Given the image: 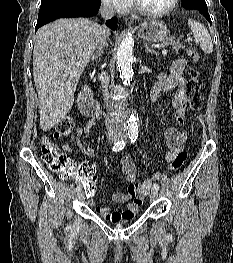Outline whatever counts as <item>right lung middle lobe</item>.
<instances>
[{
  "mask_svg": "<svg viewBox=\"0 0 233 263\" xmlns=\"http://www.w3.org/2000/svg\"><path fill=\"white\" fill-rule=\"evenodd\" d=\"M83 0H42L37 23L73 12Z\"/></svg>",
  "mask_w": 233,
  "mask_h": 263,
  "instance_id": "1",
  "label": "right lung middle lobe"
}]
</instances>
